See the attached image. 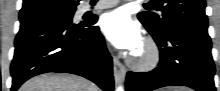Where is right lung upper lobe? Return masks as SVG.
Here are the masks:
<instances>
[{
  "label": "right lung upper lobe",
  "instance_id": "obj_1",
  "mask_svg": "<svg viewBox=\"0 0 220 91\" xmlns=\"http://www.w3.org/2000/svg\"><path fill=\"white\" fill-rule=\"evenodd\" d=\"M77 5L78 1L75 0H24L19 19L48 15L53 12L76 8Z\"/></svg>",
  "mask_w": 220,
  "mask_h": 91
}]
</instances>
